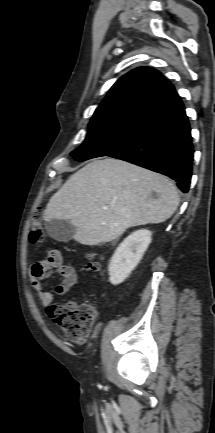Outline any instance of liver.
Here are the masks:
<instances>
[{"mask_svg":"<svg viewBox=\"0 0 215 433\" xmlns=\"http://www.w3.org/2000/svg\"><path fill=\"white\" fill-rule=\"evenodd\" d=\"M178 205V192L166 176L106 158L71 175L51 197L43 218L69 221L76 227L75 241L94 246L130 227L165 222Z\"/></svg>","mask_w":215,"mask_h":433,"instance_id":"6515ba94","label":"liver"}]
</instances>
